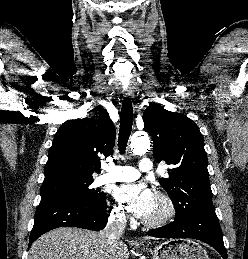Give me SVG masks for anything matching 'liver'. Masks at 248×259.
I'll use <instances>...</instances> for the list:
<instances>
[{
	"instance_id": "liver-1",
	"label": "liver",
	"mask_w": 248,
	"mask_h": 259,
	"mask_svg": "<svg viewBox=\"0 0 248 259\" xmlns=\"http://www.w3.org/2000/svg\"><path fill=\"white\" fill-rule=\"evenodd\" d=\"M128 258V247L123 241L110 245L102 232L74 227H60L42 235L29 250V259Z\"/></svg>"
}]
</instances>
